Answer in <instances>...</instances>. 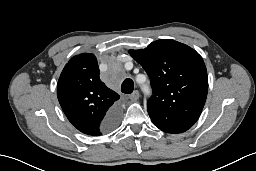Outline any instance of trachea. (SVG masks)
Wrapping results in <instances>:
<instances>
[{
	"label": "trachea",
	"mask_w": 256,
	"mask_h": 171,
	"mask_svg": "<svg viewBox=\"0 0 256 171\" xmlns=\"http://www.w3.org/2000/svg\"><path fill=\"white\" fill-rule=\"evenodd\" d=\"M134 89V82L130 78H126L122 85H121V91L125 94H130L133 92Z\"/></svg>",
	"instance_id": "3493384b"
}]
</instances>
